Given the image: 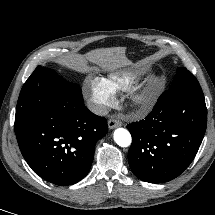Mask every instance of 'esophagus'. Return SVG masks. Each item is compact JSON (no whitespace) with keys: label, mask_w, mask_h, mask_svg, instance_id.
Listing matches in <instances>:
<instances>
[{"label":"esophagus","mask_w":215,"mask_h":215,"mask_svg":"<svg viewBox=\"0 0 215 215\" xmlns=\"http://www.w3.org/2000/svg\"><path fill=\"white\" fill-rule=\"evenodd\" d=\"M122 125L121 121H119L118 119L116 118H110L108 120V127L110 129H114L116 127H120Z\"/></svg>","instance_id":"obj_1"}]
</instances>
